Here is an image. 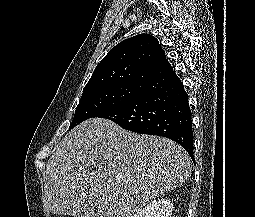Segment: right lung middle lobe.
<instances>
[{
  "instance_id": "obj_1",
  "label": "right lung middle lobe",
  "mask_w": 255,
  "mask_h": 217,
  "mask_svg": "<svg viewBox=\"0 0 255 217\" xmlns=\"http://www.w3.org/2000/svg\"><path fill=\"white\" fill-rule=\"evenodd\" d=\"M145 87L137 84H114L83 91L69 130L89 118L128 102Z\"/></svg>"
}]
</instances>
